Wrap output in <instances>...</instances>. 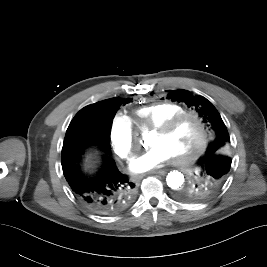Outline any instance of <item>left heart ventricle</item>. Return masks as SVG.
<instances>
[{"instance_id":"left-heart-ventricle-1","label":"left heart ventricle","mask_w":267,"mask_h":267,"mask_svg":"<svg viewBox=\"0 0 267 267\" xmlns=\"http://www.w3.org/2000/svg\"><path fill=\"white\" fill-rule=\"evenodd\" d=\"M200 138V129L193 119H185L175 129L165 135L156 132L151 146L164 147L171 157H183L190 154Z\"/></svg>"}]
</instances>
